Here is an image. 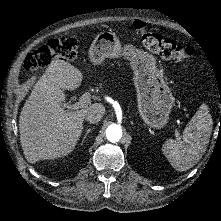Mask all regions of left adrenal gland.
I'll return each instance as SVG.
<instances>
[{"mask_svg": "<svg viewBox=\"0 0 221 221\" xmlns=\"http://www.w3.org/2000/svg\"><path fill=\"white\" fill-rule=\"evenodd\" d=\"M131 123H133V119H131Z\"/></svg>", "mask_w": 221, "mask_h": 221, "instance_id": "a2214340", "label": "left adrenal gland"}]
</instances>
